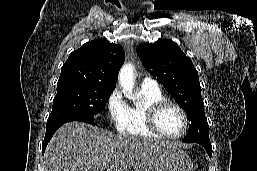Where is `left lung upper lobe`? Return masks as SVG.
I'll use <instances>...</instances> for the list:
<instances>
[{
  "label": "left lung upper lobe",
  "instance_id": "left-lung-upper-lobe-1",
  "mask_svg": "<svg viewBox=\"0 0 257 171\" xmlns=\"http://www.w3.org/2000/svg\"><path fill=\"white\" fill-rule=\"evenodd\" d=\"M137 53L145 69L186 112L190 125L183 142L210 141L198 72L191 59L172 41L140 45Z\"/></svg>",
  "mask_w": 257,
  "mask_h": 171
}]
</instances>
